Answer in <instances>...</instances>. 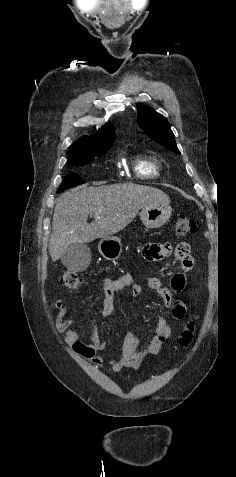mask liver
<instances>
[{"label": "liver", "mask_w": 236, "mask_h": 477, "mask_svg": "<svg viewBox=\"0 0 236 477\" xmlns=\"http://www.w3.org/2000/svg\"><path fill=\"white\" fill-rule=\"evenodd\" d=\"M169 204L161 190L137 184H114L99 187L81 186L62 195L53 215L49 254L60 259L73 243H88L105 238L128 226L139 210L150 204ZM95 220L87 223L88 215Z\"/></svg>", "instance_id": "6515ba94"}]
</instances>
